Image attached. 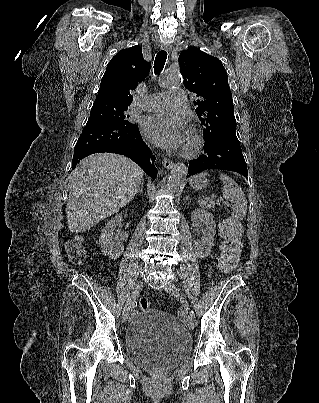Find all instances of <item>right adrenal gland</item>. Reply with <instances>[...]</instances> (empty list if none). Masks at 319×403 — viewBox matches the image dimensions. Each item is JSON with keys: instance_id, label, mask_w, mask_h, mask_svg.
Returning <instances> with one entry per match:
<instances>
[{"instance_id": "2a0ac1e0", "label": "right adrenal gland", "mask_w": 319, "mask_h": 403, "mask_svg": "<svg viewBox=\"0 0 319 403\" xmlns=\"http://www.w3.org/2000/svg\"><path fill=\"white\" fill-rule=\"evenodd\" d=\"M137 192H143V182H141L140 187L138 188Z\"/></svg>"}]
</instances>
